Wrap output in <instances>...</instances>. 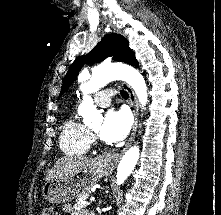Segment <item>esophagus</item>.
Masks as SVG:
<instances>
[{
  "mask_svg": "<svg viewBox=\"0 0 221 215\" xmlns=\"http://www.w3.org/2000/svg\"><path fill=\"white\" fill-rule=\"evenodd\" d=\"M122 87L129 94V104L132 107V111H133V115H134V124L132 127V132H131L130 138L120 153H108V154L101 156L98 159L99 162L107 168H114L117 166L122 155L131 146V144L135 138V134H136L137 126H138V104H137V99L134 94V91L125 82H122Z\"/></svg>",
  "mask_w": 221,
  "mask_h": 215,
  "instance_id": "34e87169",
  "label": "esophagus"
}]
</instances>
